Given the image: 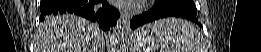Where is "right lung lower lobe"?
<instances>
[{
    "label": "right lung lower lobe",
    "instance_id": "obj_1",
    "mask_svg": "<svg viewBox=\"0 0 261 52\" xmlns=\"http://www.w3.org/2000/svg\"><path fill=\"white\" fill-rule=\"evenodd\" d=\"M98 3H102V5ZM55 14L82 16L99 24V27L104 31L115 26L116 20L120 16L119 12L109 6L106 0H41L40 21Z\"/></svg>",
    "mask_w": 261,
    "mask_h": 52
}]
</instances>
